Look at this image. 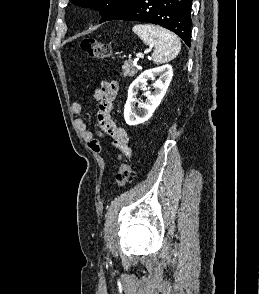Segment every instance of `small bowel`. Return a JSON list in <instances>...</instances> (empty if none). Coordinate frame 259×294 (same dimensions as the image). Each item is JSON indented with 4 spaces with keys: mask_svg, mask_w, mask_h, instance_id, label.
<instances>
[{
    "mask_svg": "<svg viewBox=\"0 0 259 294\" xmlns=\"http://www.w3.org/2000/svg\"><path fill=\"white\" fill-rule=\"evenodd\" d=\"M117 93L118 84L115 82H102L93 93V98L97 102L98 134L112 138L115 146L119 148L122 154L129 157L131 155V151L128 146L129 136L125 129L117 125V123L111 118V112L113 110ZM81 112V104L79 102L72 103L71 113L78 116ZM74 126L78 134L89 144V146L95 152H99L100 146L94 133L89 129L87 122L78 118L74 121Z\"/></svg>",
    "mask_w": 259,
    "mask_h": 294,
    "instance_id": "obj_1",
    "label": "small bowel"
}]
</instances>
